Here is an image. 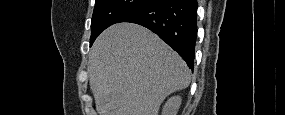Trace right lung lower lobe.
<instances>
[{
  "instance_id": "right-lung-lower-lobe-1",
  "label": "right lung lower lobe",
  "mask_w": 285,
  "mask_h": 115,
  "mask_svg": "<svg viewBox=\"0 0 285 115\" xmlns=\"http://www.w3.org/2000/svg\"><path fill=\"white\" fill-rule=\"evenodd\" d=\"M140 24L172 47L193 70L197 39L196 0H150L120 18Z\"/></svg>"
}]
</instances>
